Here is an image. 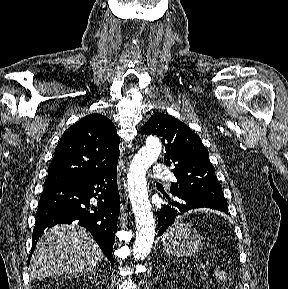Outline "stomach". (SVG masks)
<instances>
[{
    "mask_svg": "<svg viewBox=\"0 0 288 289\" xmlns=\"http://www.w3.org/2000/svg\"><path fill=\"white\" fill-rule=\"evenodd\" d=\"M202 248V236L191 228L163 239V249L171 256L189 257L197 254Z\"/></svg>",
    "mask_w": 288,
    "mask_h": 289,
    "instance_id": "0dacf381",
    "label": "stomach"
}]
</instances>
